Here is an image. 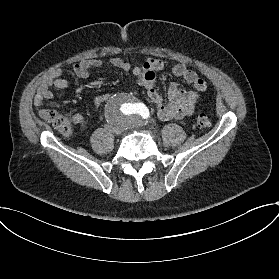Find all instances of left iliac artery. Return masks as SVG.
<instances>
[{"mask_svg":"<svg viewBox=\"0 0 279 279\" xmlns=\"http://www.w3.org/2000/svg\"><path fill=\"white\" fill-rule=\"evenodd\" d=\"M140 114L143 116V118L149 117V110L145 105L140 108Z\"/></svg>","mask_w":279,"mask_h":279,"instance_id":"1","label":"left iliac artery"}]
</instances>
